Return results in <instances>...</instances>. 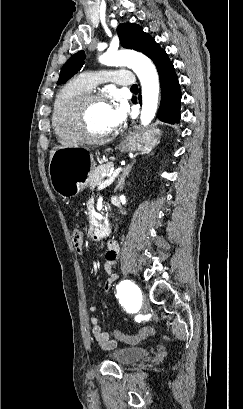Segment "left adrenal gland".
<instances>
[{"label":"left adrenal gland","instance_id":"left-adrenal-gland-1","mask_svg":"<svg viewBox=\"0 0 243 409\" xmlns=\"http://www.w3.org/2000/svg\"><path fill=\"white\" fill-rule=\"evenodd\" d=\"M135 162L136 161L134 160L131 164L124 167L122 175L118 178V182H117L118 184L116 186V189H118L119 191L123 190L124 185H125V178L129 175V173H130L133 165L135 164Z\"/></svg>","mask_w":243,"mask_h":409}]
</instances>
